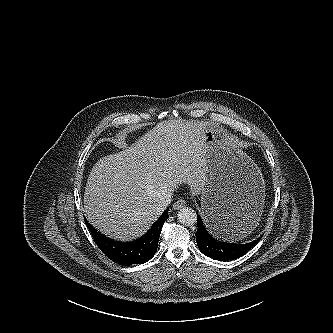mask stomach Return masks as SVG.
Returning <instances> with one entry per match:
<instances>
[{
	"label": "stomach",
	"instance_id": "0dacf381",
	"mask_svg": "<svg viewBox=\"0 0 333 333\" xmlns=\"http://www.w3.org/2000/svg\"><path fill=\"white\" fill-rule=\"evenodd\" d=\"M204 133V226L213 238L236 242L257 227L264 207V178L257 164L221 131L207 124Z\"/></svg>",
	"mask_w": 333,
	"mask_h": 333
}]
</instances>
